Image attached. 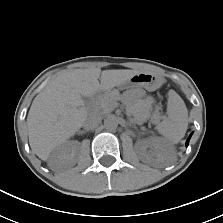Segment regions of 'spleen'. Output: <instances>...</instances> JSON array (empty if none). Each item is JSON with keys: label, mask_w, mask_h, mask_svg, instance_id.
I'll return each instance as SVG.
<instances>
[{"label": "spleen", "mask_w": 223, "mask_h": 223, "mask_svg": "<svg viewBox=\"0 0 223 223\" xmlns=\"http://www.w3.org/2000/svg\"><path fill=\"white\" fill-rule=\"evenodd\" d=\"M168 112L171 119V133L176 139H181L187 130L188 111L184 101L174 91H170Z\"/></svg>", "instance_id": "obj_1"}]
</instances>
